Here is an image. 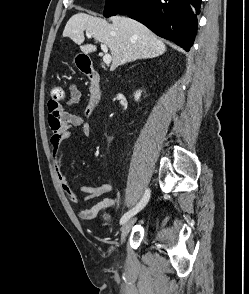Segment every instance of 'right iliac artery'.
<instances>
[{
  "mask_svg": "<svg viewBox=\"0 0 249 294\" xmlns=\"http://www.w3.org/2000/svg\"><path fill=\"white\" fill-rule=\"evenodd\" d=\"M150 198V190L147 189L145 191V194L143 196V198L140 200V202L131 210H129L128 212H126L121 220H120V224H124L128 219H130L133 215H135L136 213H138L141 209L144 208V206L147 204L148 200Z\"/></svg>",
  "mask_w": 249,
  "mask_h": 294,
  "instance_id": "right-iliac-artery-1",
  "label": "right iliac artery"
}]
</instances>
